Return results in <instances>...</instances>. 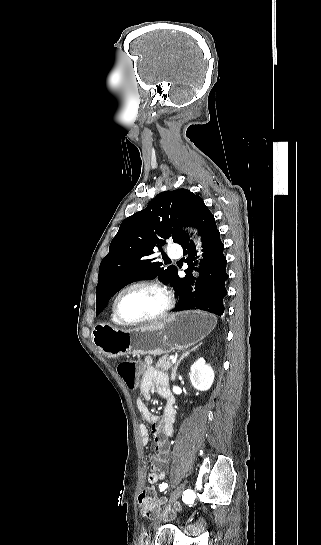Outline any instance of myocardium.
<instances>
[{"mask_svg":"<svg viewBox=\"0 0 321 545\" xmlns=\"http://www.w3.org/2000/svg\"><path fill=\"white\" fill-rule=\"evenodd\" d=\"M136 288H148V289H152L161 293L164 296L166 301L165 307L158 314L152 317H149L140 321H136V322L127 321L120 312V299L126 292ZM173 307H174V297L171 291L165 285L155 281H139V282L132 283L124 287L123 289H121L119 293L116 295L114 300L115 316L118 322L121 325L126 327H140V326H144L147 324L160 321L169 314V312L173 309Z\"/></svg>","mask_w":321,"mask_h":545,"instance_id":"myocardium-1","label":"myocardium"}]
</instances>
